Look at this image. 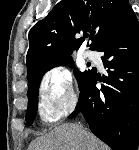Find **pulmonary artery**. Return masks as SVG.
Listing matches in <instances>:
<instances>
[{
    "mask_svg": "<svg viewBox=\"0 0 139 150\" xmlns=\"http://www.w3.org/2000/svg\"><path fill=\"white\" fill-rule=\"evenodd\" d=\"M84 57L87 59H95V53L87 50L84 52Z\"/></svg>",
    "mask_w": 139,
    "mask_h": 150,
    "instance_id": "pulmonary-artery-1",
    "label": "pulmonary artery"
}]
</instances>
